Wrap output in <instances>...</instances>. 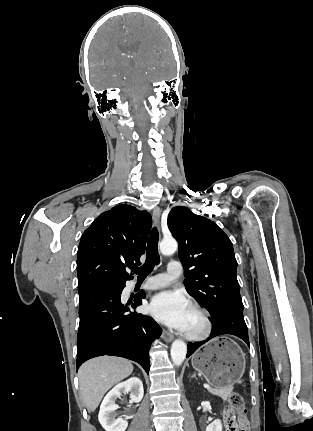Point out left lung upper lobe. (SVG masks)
<instances>
[{"mask_svg": "<svg viewBox=\"0 0 313 431\" xmlns=\"http://www.w3.org/2000/svg\"><path fill=\"white\" fill-rule=\"evenodd\" d=\"M168 228L178 241L185 288L211 319L228 311L243 312L233 245L221 228L182 206L170 211Z\"/></svg>", "mask_w": 313, "mask_h": 431, "instance_id": "5c2ea615", "label": "left lung upper lobe"}]
</instances>
